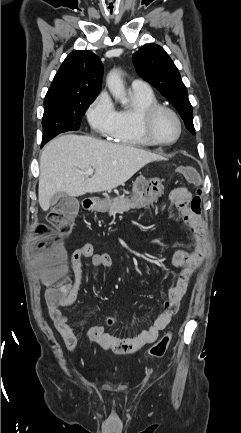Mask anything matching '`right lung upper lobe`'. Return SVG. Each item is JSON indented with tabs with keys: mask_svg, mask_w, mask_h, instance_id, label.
<instances>
[{
	"mask_svg": "<svg viewBox=\"0 0 241 433\" xmlns=\"http://www.w3.org/2000/svg\"><path fill=\"white\" fill-rule=\"evenodd\" d=\"M102 76L103 65L97 55L87 50L72 52L56 73L44 102L95 99Z\"/></svg>",
	"mask_w": 241,
	"mask_h": 433,
	"instance_id": "cb5924a9",
	"label": "right lung upper lobe"
}]
</instances>
